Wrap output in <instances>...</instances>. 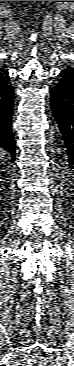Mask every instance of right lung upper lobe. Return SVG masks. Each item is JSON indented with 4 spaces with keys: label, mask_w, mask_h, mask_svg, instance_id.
Returning a JSON list of instances; mask_svg holds the SVG:
<instances>
[{
    "label": "right lung upper lobe",
    "mask_w": 74,
    "mask_h": 366,
    "mask_svg": "<svg viewBox=\"0 0 74 366\" xmlns=\"http://www.w3.org/2000/svg\"><path fill=\"white\" fill-rule=\"evenodd\" d=\"M7 74V70H4V69H2V68H0V77H4V75H6Z\"/></svg>",
    "instance_id": "1"
}]
</instances>
